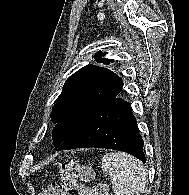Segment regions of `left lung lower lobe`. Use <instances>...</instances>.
Here are the masks:
<instances>
[{"mask_svg": "<svg viewBox=\"0 0 189 195\" xmlns=\"http://www.w3.org/2000/svg\"><path fill=\"white\" fill-rule=\"evenodd\" d=\"M117 95L100 107L56 148L115 149L127 152L145 163L143 139L139 134L132 108L129 103L117 98Z\"/></svg>", "mask_w": 189, "mask_h": 195, "instance_id": "left-lung-lower-lobe-1", "label": "left lung lower lobe"}]
</instances>
